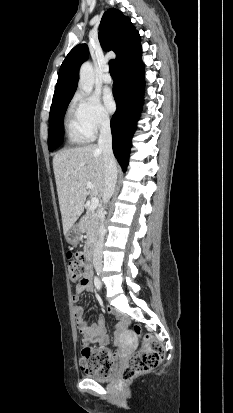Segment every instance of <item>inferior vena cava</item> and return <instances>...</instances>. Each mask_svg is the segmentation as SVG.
<instances>
[{
	"label": "inferior vena cava",
	"mask_w": 233,
	"mask_h": 413,
	"mask_svg": "<svg viewBox=\"0 0 233 413\" xmlns=\"http://www.w3.org/2000/svg\"><path fill=\"white\" fill-rule=\"evenodd\" d=\"M98 147L102 150L104 157V189L102 197L104 203H107L114 193L117 181V165L112 151V135L110 120L108 117H104L101 121ZM100 221V236L93 253V265L97 272H100L102 269V248L106 233V229L104 227V214L100 216Z\"/></svg>",
	"instance_id": "obj_1"
}]
</instances>
